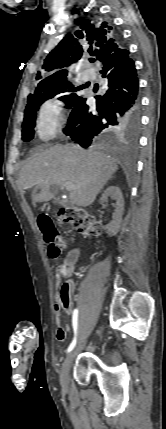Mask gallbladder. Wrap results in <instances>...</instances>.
Wrapping results in <instances>:
<instances>
[{
	"label": "gallbladder",
	"instance_id": "bac80fb5",
	"mask_svg": "<svg viewBox=\"0 0 166 429\" xmlns=\"http://www.w3.org/2000/svg\"><path fill=\"white\" fill-rule=\"evenodd\" d=\"M56 202L62 206H70V202L67 199L58 198Z\"/></svg>",
	"mask_w": 166,
	"mask_h": 429
}]
</instances>
